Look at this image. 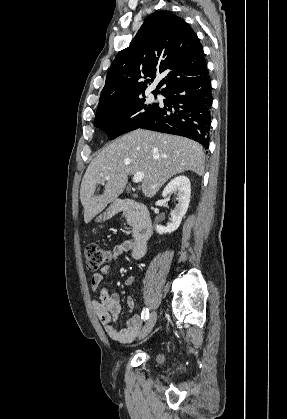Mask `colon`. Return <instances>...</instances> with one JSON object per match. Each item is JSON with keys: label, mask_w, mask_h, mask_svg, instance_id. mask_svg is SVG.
I'll list each match as a JSON object with an SVG mask.
<instances>
[{"label": "colon", "mask_w": 287, "mask_h": 419, "mask_svg": "<svg viewBox=\"0 0 287 419\" xmlns=\"http://www.w3.org/2000/svg\"><path fill=\"white\" fill-rule=\"evenodd\" d=\"M87 267L91 271L98 270L105 266L110 260L111 253L97 243H90L85 248Z\"/></svg>", "instance_id": "1"}]
</instances>
